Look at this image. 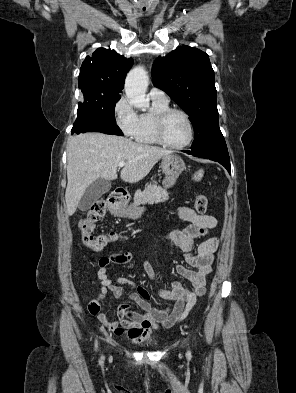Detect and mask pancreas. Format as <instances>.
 <instances>
[{
  "mask_svg": "<svg viewBox=\"0 0 296 393\" xmlns=\"http://www.w3.org/2000/svg\"><path fill=\"white\" fill-rule=\"evenodd\" d=\"M169 199L168 193L161 187L149 184L143 191L138 190L134 195V205L154 204L165 202Z\"/></svg>",
  "mask_w": 296,
  "mask_h": 393,
  "instance_id": "cf45deb5",
  "label": "pancreas"
}]
</instances>
